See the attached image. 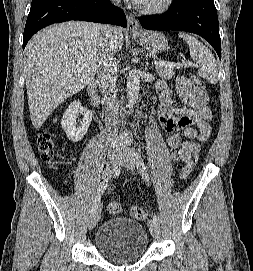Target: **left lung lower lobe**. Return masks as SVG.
I'll list each match as a JSON object with an SVG mask.
<instances>
[{
    "label": "left lung lower lobe",
    "instance_id": "obj_1",
    "mask_svg": "<svg viewBox=\"0 0 253 271\" xmlns=\"http://www.w3.org/2000/svg\"><path fill=\"white\" fill-rule=\"evenodd\" d=\"M149 30H180L200 35L216 50L221 59L219 22L213 0H173L168 12L139 18Z\"/></svg>",
    "mask_w": 253,
    "mask_h": 271
}]
</instances>
